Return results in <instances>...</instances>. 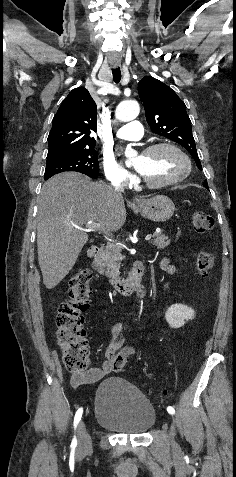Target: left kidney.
Returning <instances> with one entry per match:
<instances>
[{
  "mask_svg": "<svg viewBox=\"0 0 236 477\" xmlns=\"http://www.w3.org/2000/svg\"><path fill=\"white\" fill-rule=\"evenodd\" d=\"M194 316V310L183 304L170 306L165 314L166 321L172 328L182 327L185 324V320L193 319Z\"/></svg>",
  "mask_w": 236,
  "mask_h": 477,
  "instance_id": "obj_1",
  "label": "left kidney"
}]
</instances>
